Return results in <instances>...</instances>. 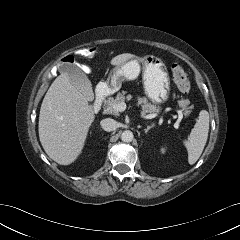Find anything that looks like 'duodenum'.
Returning a JSON list of instances; mask_svg holds the SVG:
<instances>
[{"instance_id": "obj_1", "label": "duodenum", "mask_w": 240, "mask_h": 240, "mask_svg": "<svg viewBox=\"0 0 240 240\" xmlns=\"http://www.w3.org/2000/svg\"><path fill=\"white\" fill-rule=\"evenodd\" d=\"M110 91H111V88L106 83L101 84L96 89L95 100L92 104V108H93L94 111H98L101 108L105 97L109 94Z\"/></svg>"}]
</instances>
